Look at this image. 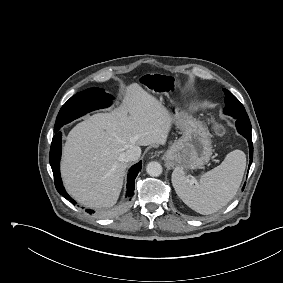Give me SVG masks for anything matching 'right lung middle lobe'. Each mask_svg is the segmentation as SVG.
<instances>
[{
    "label": "right lung middle lobe",
    "mask_w": 283,
    "mask_h": 283,
    "mask_svg": "<svg viewBox=\"0 0 283 283\" xmlns=\"http://www.w3.org/2000/svg\"><path fill=\"white\" fill-rule=\"evenodd\" d=\"M112 96L100 88H89L71 97L60 109L55 122V132L74 119L86 113L108 107L111 105Z\"/></svg>",
    "instance_id": "dd1d6c3e"
}]
</instances>
